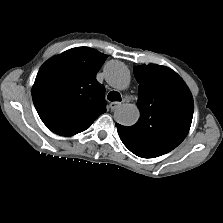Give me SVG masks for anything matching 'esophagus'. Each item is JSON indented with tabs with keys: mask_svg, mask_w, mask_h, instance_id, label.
<instances>
[{
	"mask_svg": "<svg viewBox=\"0 0 223 223\" xmlns=\"http://www.w3.org/2000/svg\"><path fill=\"white\" fill-rule=\"evenodd\" d=\"M120 105H121L120 102H111L109 107H110L111 110H115Z\"/></svg>",
	"mask_w": 223,
	"mask_h": 223,
	"instance_id": "esophagus-1",
	"label": "esophagus"
}]
</instances>
